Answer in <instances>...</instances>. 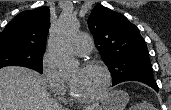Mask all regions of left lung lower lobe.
I'll use <instances>...</instances> for the list:
<instances>
[{
    "instance_id": "1",
    "label": "left lung lower lobe",
    "mask_w": 171,
    "mask_h": 110,
    "mask_svg": "<svg viewBox=\"0 0 171 110\" xmlns=\"http://www.w3.org/2000/svg\"><path fill=\"white\" fill-rule=\"evenodd\" d=\"M133 81H139V82L145 83L148 86L152 87L156 92H158L159 88H158L156 81H147V80H133Z\"/></svg>"
}]
</instances>
